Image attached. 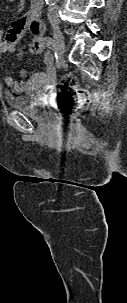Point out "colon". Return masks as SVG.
Instances as JSON below:
<instances>
[{
	"instance_id": "obj_1",
	"label": "colon",
	"mask_w": 127,
	"mask_h": 303,
	"mask_svg": "<svg viewBox=\"0 0 127 303\" xmlns=\"http://www.w3.org/2000/svg\"><path fill=\"white\" fill-rule=\"evenodd\" d=\"M61 85L68 90L61 94L62 106L66 112L76 111L88 104V90L79 85L74 74H65L62 77Z\"/></svg>"
}]
</instances>
